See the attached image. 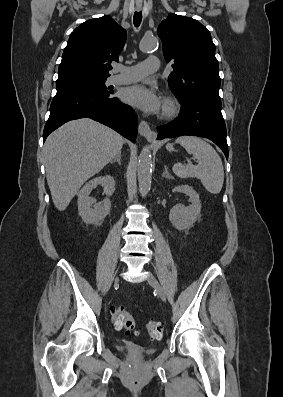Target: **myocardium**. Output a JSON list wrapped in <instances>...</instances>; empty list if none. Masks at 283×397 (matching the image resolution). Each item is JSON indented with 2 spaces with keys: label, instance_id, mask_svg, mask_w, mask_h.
Returning <instances> with one entry per match:
<instances>
[{
  "label": "myocardium",
  "instance_id": "obj_1",
  "mask_svg": "<svg viewBox=\"0 0 283 397\" xmlns=\"http://www.w3.org/2000/svg\"><path fill=\"white\" fill-rule=\"evenodd\" d=\"M180 111V105L173 97H166L163 101L161 116L165 119L175 117Z\"/></svg>",
  "mask_w": 283,
  "mask_h": 397
}]
</instances>
